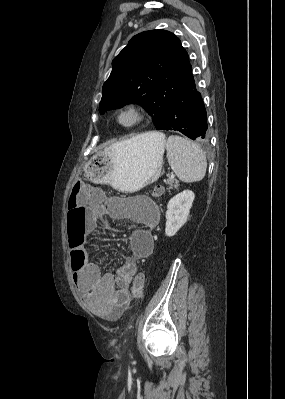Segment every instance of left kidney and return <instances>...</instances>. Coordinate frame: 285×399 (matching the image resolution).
<instances>
[{
  "label": "left kidney",
  "instance_id": "5707ae66",
  "mask_svg": "<svg viewBox=\"0 0 285 399\" xmlns=\"http://www.w3.org/2000/svg\"><path fill=\"white\" fill-rule=\"evenodd\" d=\"M195 195L190 190L178 193L167 204L165 234L174 236L187 222Z\"/></svg>",
  "mask_w": 285,
  "mask_h": 399
}]
</instances>
